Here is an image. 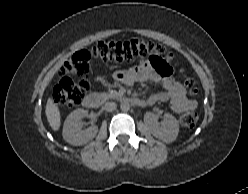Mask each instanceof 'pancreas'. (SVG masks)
<instances>
[{
  "label": "pancreas",
  "mask_w": 248,
  "mask_h": 194,
  "mask_svg": "<svg viewBox=\"0 0 248 194\" xmlns=\"http://www.w3.org/2000/svg\"><path fill=\"white\" fill-rule=\"evenodd\" d=\"M103 98L109 99V98H117L120 96V93H118L115 90H110L108 93H102Z\"/></svg>",
  "instance_id": "cf45deb5"
}]
</instances>
